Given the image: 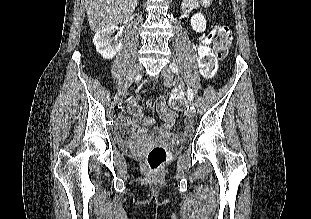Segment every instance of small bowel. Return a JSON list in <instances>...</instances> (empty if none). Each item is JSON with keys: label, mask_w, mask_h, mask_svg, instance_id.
Masks as SVG:
<instances>
[{"label": "small bowel", "mask_w": 311, "mask_h": 219, "mask_svg": "<svg viewBox=\"0 0 311 219\" xmlns=\"http://www.w3.org/2000/svg\"><path fill=\"white\" fill-rule=\"evenodd\" d=\"M157 110L160 113V115L167 121L164 125L158 127L155 130V135L159 137L168 136V137H174L177 140H182L185 138L187 134L191 132V126L188 120L184 122V129L182 131L177 132L176 134L171 133V129L174 125L176 115L172 112H170L166 106L165 102L162 99H159L157 101ZM127 112L132 114L133 121L130 122L131 129L125 130V132H122L123 125H126V116L121 115L118 121V132L120 136H128L129 134H132V136H136L139 138L144 139L147 134L150 127L155 125L156 119L154 117H147L143 118V112L141 109V106L136 98H133L127 106ZM127 126V125H126Z\"/></svg>", "instance_id": "small-bowel-1"}]
</instances>
